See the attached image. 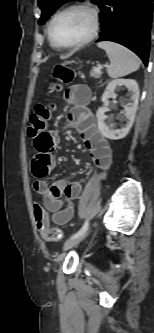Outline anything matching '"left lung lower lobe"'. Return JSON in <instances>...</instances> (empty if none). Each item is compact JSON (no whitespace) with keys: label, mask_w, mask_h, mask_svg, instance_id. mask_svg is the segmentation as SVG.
<instances>
[{"label":"left lung lower lobe","mask_w":154,"mask_h":333,"mask_svg":"<svg viewBox=\"0 0 154 333\" xmlns=\"http://www.w3.org/2000/svg\"><path fill=\"white\" fill-rule=\"evenodd\" d=\"M102 32L97 41H112L136 53L148 65L153 0H102Z\"/></svg>","instance_id":"left-lung-lower-lobe-1"}]
</instances>
